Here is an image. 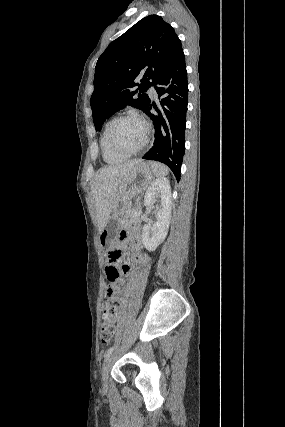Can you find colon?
I'll return each mask as SVG.
<instances>
[{
	"instance_id": "5ec220e1",
	"label": "colon",
	"mask_w": 285,
	"mask_h": 427,
	"mask_svg": "<svg viewBox=\"0 0 285 427\" xmlns=\"http://www.w3.org/2000/svg\"><path fill=\"white\" fill-rule=\"evenodd\" d=\"M121 259V252L118 249L111 250L107 254L108 266L105 269L108 286H119L121 284V271L117 267ZM117 317L116 302L110 297V290H107V297L102 304L103 325L100 331V339L103 343H108L115 332L114 321Z\"/></svg>"
}]
</instances>
